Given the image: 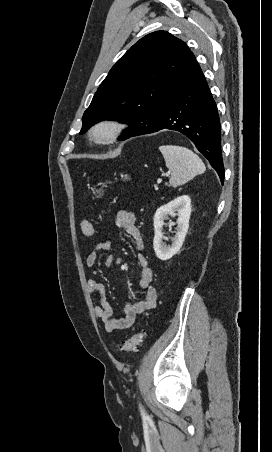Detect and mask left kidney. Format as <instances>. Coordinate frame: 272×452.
I'll return each mask as SVG.
<instances>
[{"mask_svg":"<svg viewBox=\"0 0 272 452\" xmlns=\"http://www.w3.org/2000/svg\"><path fill=\"white\" fill-rule=\"evenodd\" d=\"M177 215L176 235L172 239V244L167 246L163 243V226L168 216ZM191 215V199L188 195H182L169 203L159 207L154 215V240L153 247L156 256L160 260L172 258L182 247L185 236L189 228Z\"/></svg>","mask_w":272,"mask_h":452,"instance_id":"obj_1","label":"left kidney"}]
</instances>
